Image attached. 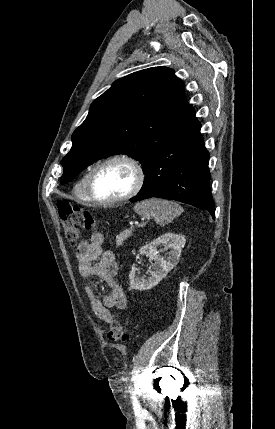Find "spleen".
I'll use <instances>...</instances> for the list:
<instances>
[{
	"label": "spleen",
	"mask_w": 275,
	"mask_h": 429,
	"mask_svg": "<svg viewBox=\"0 0 275 429\" xmlns=\"http://www.w3.org/2000/svg\"><path fill=\"white\" fill-rule=\"evenodd\" d=\"M134 211L146 219L153 218L160 226H165L183 212V208L172 201L151 198L137 203Z\"/></svg>",
	"instance_id": "obj_1"
}]
</instances>
